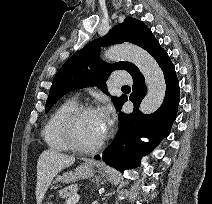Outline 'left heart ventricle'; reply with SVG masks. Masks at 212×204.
Returning a JSON list of instances; mask_svg holds the SVG:
<instances>
[{"label":"left heart ventricle","instance_id":"b2bd125f","mask_svg":"<svg viewBox=\"0 0 212 204\" xmlns=\"http://www.w3.org/2000/svg\"><path fill=\"white\" fill-rule=\"evenodd\" d=\"M77 141L84 146L96 143L106 132L99 112H88L79 116L74 124Z\"/></svg>","mask_w":212,"mask_h":204}]
</instances>
